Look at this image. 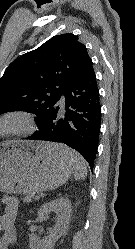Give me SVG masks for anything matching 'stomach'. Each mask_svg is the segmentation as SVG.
Instances as JSON below:
<instances>
[{
  "mask_svg": "<svg viewBox=\"0 0 135 249\" xmlns=\"http://www.w3.org/2000/svg\"><path fill=\"white\" fill-rule=\"evenodd\" d=\"M59 145L41 141L0 144V191L34 194L64 184L75 164L60 152Z\"/></svg>",
  "mask_w": 135,
  "mask_h": 249,
  "instance_id": "stomach-1",
  "label": "stomach"
}]
</instances>
